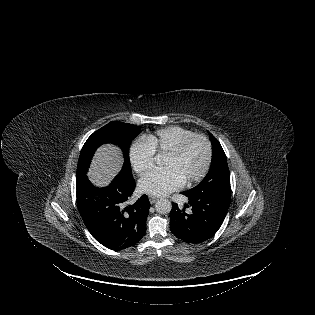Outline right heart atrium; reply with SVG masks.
<instances>
[{"label": "right heart atrium", "mask_w": 315, "mask_h": 315, "mask_svg": "<svg viewBox=\"0 0 315 315\" xmlns=\"http://www.w3.org/2000/svg\"><path fill=\"white\" fill-rule=\"evenodd\" d=\"M154 149L146 139L135 141L129 150V159L133 170L144 175L154 164Z\"/></svg>", "instance_id": "obj_1"}]
</instances>
